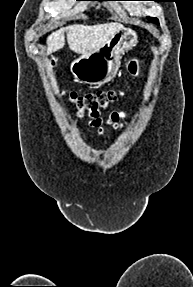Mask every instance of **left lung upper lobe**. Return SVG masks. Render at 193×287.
<instances>
[{
  "mask_svg": "<svg viewBox=\"0 0 193 287\" xmlns=\"http://www.w3.org/2000/svg\"><path fill=\"white\" fill-rule=\"evenodd\" d=\"M148 19H149L150 21H152V22H155V23L159 24V22H158V19H157V18H151V17H148Z\"/></svg>",
  "mask_w": 193,
  "mask_h": 287,
  "instance_id": "5c2ea615",
  "label": "left lung upper lobe"
}]
</instances>
